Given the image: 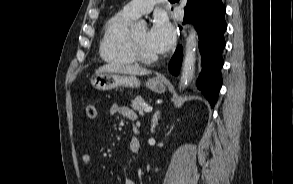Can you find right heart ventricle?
Returning <instances> with one entry per match:
<instances>
[{"instance_id":"e07e8e85","label":"right heart ventricle","mask_w":293,"mask_h":184,"mask_svg":"<svg viewBox=\"0 0 293 184\" xmlns=\"http://www.w3.org/2000/svg\"><path fill=\"white\" fill-rule=\"evenodd\" d=\"M135 18L120 11L108 19L99 45L101 58L114 64H132L136 60L130 47V24Z\"/></svg>"}]
</instances>
